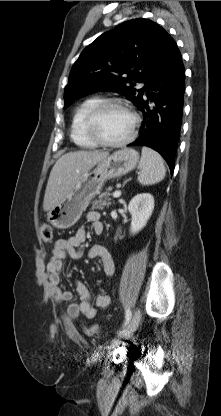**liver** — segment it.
Returning a JSON list of instances; mask_svg holds the SVG:
<instances>
[{"label":"liver","mask_w":221,"mask_h":416,"mask_svg":"<svg viewBox=\"0 0 221 416\" xmlns=\"http://www.w3.org/2000/svg\"><path fill=\"white\" fill-rule=\"evenodd\" d=\"M108 156L105 151L84 150L62 155L50 172L43 201L44 211L58 205L84 173Z\"/></svg>","instance_id":"liver-1"}]
</instances>
